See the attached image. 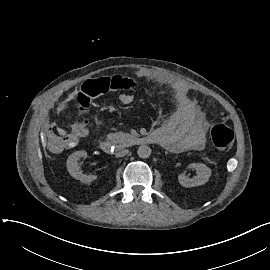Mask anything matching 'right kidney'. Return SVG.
I'll list each match as a JSON object with an SVG mask.
<instances>
[{
	"label": "right kidney",
	"instance_id": "obj_1",
	"mask_svg": "<svg viewBox=\"0 0 270 270\" xmlns=\"http://www.w3.org/2000/svg\"><path fill=\"white\" fill-rule=\"evenodd\" d=\"M87 152L86 151H76L68 157L67 160V168L69 173L75 179L80 180L81 182L88 184L95 181L98 176L97 175H84L80 172L79 166L77 165V161L80 158H86Z\"/></svg>",
	"mask_w": 270,
	"mask_h": 270
}]
</instances>
